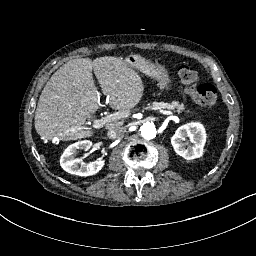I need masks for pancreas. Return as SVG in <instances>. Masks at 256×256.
<instances>
[{"label": "pancreas", "instance_id": "cf45deb5", "mask_svg": "<svg viewBox=\"0 0 256 256\" xmlns=\"http://www.w3.org/2000/svg\"><path fill=\"white\" fill-rule=\"evenodd\" d=\"M155 106H160V107H164L167 109H175L177 108L179 111H185L186 113L191 112L190 109L187 108V106H184L183 104H180L178 102H173L172 104H168V103H155Z\"/></svg>", "mask_w": 256, "mask_h": 256}]
</instances>
